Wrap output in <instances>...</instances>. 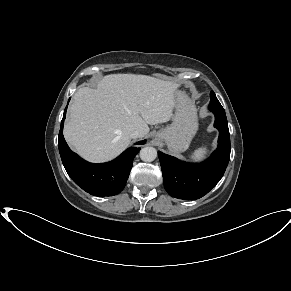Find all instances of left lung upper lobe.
I'll return each mask as SVG.
<instances>
[{
	"label": "left lung upper lobe",
	"instance_id": "left-lung-upper-lobe-1",
	"mask_svg": "<svg viewBox=\"0 0 291 291\" xmlns=\"http://www.w3.org/2000/svg\"><path fill=\"white\" fill-rule=\"evenodd\" d=\"M210 98H211L210 104H220V102L218 101V99L213 91H211V93H210Z\"/></svg>",
	"mask_w": 291,
	"mask_h": 291
}]
</instances>
